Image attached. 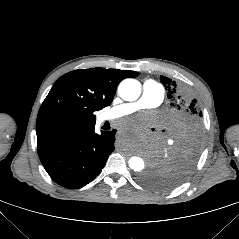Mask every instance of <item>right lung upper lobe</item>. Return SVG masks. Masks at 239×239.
I'll list each match as a JSON object with an SVG mask.
<instances>
[{
  "label": "right lung upper lobe",
  "mask_w": 239,
  "mask_h": 239,
  "mask_svg": "<svg viewBox=\"0 0 239 239\" xmlns=\"http://www.w3.org/2000/svg\"><path fill=\"white\" fill-rule=\"evenodd\" d=\"M138 75L135 71L91 68L61 76L39 110L37 145L95 126L94 112L111 104L123 79Z\"/></svg>",
  "instance_id": "cb5924a9"
}]
</instances>
